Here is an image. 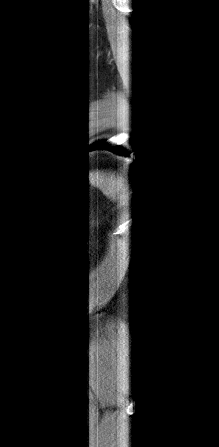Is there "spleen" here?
I'll return each mask as SVG.
<instances>
[{
	"label": "spleen",
	"instance_id": "spleen-1",
	"mask_svg": "<svg viewBox=\"0 0 219 447\" xmlns=\"http://www.w3.org/2000/svg\"><path fill=\"white\" fill-rule=\"evenodd\" d=\"M89 180L93 186L97 187L102 193L111 199L117 201L124 188V180L115 173L94 172L89 175Z\"/></svg>",
	"mask_w": 219,
	"mask_h": 447
}]
</instances>
